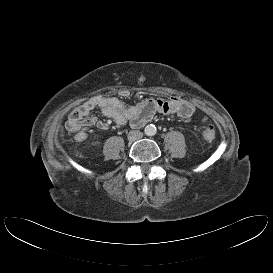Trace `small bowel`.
Here are the masks:
<instances>
[{
  "label": "small bowel",
  "mask_w": 273,
  "mask_h": 273,
  "mask_svg": "<svg viewBox=\"0 0 273 273\" xmlns=\"http://www.w3.org/2000/svg\"><path fill=\"white\" fill-rule=\"evenodd\" d=\"M96 108L116 124L121 126L129 124L134 128L149 122L156 113L177 114L183 119H188L195 112L192 103L179 97L168 100L146 99L136 105H127L116 97L96 96L75 108L69 115L67 129L74 134L75 140L84 141L90 128L97 127L102 130L108 128L106 122L91 114Z\"/></svg>",
  "instance_id": "c3829d8e"
}]
</instances>
